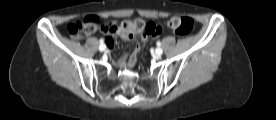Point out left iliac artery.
<instances>
[{"mask_svg": "<svg viewBox=\"0 0 276 120\" xmlns=\"http://www.w3.org/2000/svg\"><path fill=\"white\" fill-rule=\"evenodd\" d=\"M156 44H157V46H161V42L160 41H158Z\"/></svg>", "mask_w": 276, "mask_h": 120, "instance_id": "obj_1", "label": "left iliac artery"}]
</instances>
